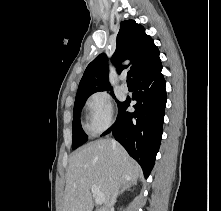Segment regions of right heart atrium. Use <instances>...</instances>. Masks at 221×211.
<instances>
[{"label": "right heart atrium", "mask_w": 221, "mask_h": 211, "mask_svg": "<svg viewBox=\"0 0 221 211\" xmlns=\"http://www.w3.org/2000/svg\"><path fill=\"white\" fill-rule=\"evenodd\" d=\"M87 113V128L90 132L98 134L106 130L113 123V101L105 91L91 94L85 104Z\"/></svg>", "instance_id": "1"}]
</instances>
